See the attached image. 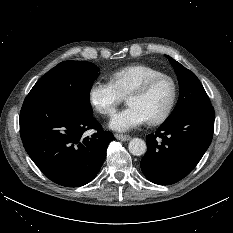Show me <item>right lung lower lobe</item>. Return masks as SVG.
<instances>
[{"mask_svg": "<svg viewBox=\"0 0 233 233\" xmlns=\"http://www.w3.org/2000/svg\"><path fill=\"white\" fill-rule=\"evenodd\" d=\"M89 129L97 130L85 137ZM20 135L30 158L53 182L79 187L100 170L111 132L92 116L64 100L26 97L20 112Z\"/></svg>", "mask_w": 233, "mask_h": 233, "instance_id": "98d812e1", "label": "right lung lower lobe"}]
</instances>
